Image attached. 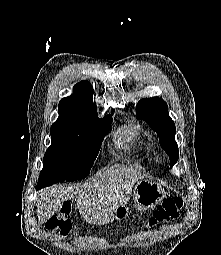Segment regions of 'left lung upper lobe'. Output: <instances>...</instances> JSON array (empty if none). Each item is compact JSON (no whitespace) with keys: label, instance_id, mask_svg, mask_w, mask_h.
Wrapping results in <instances>:
<instances>
[{"label":"left lung upper lobe","instance_id":"left-lung-upper-lobe-1","mask_svg":"<svg viewBox=\"0 0 221 255\" xmlns=\"http://www.w3.org/2000/svg\"><path fill=\"white\" fill-rule=\"evenodd\" d=\"M136 113L138 118L144 119L156 131L161 147L169 155L172 167L178 160L179 152L174 138V121L169 117L166 102L159 97L141 99L136 105Z\"/></svg>","mask_w":221,"mask_h":255}]
</instances>
